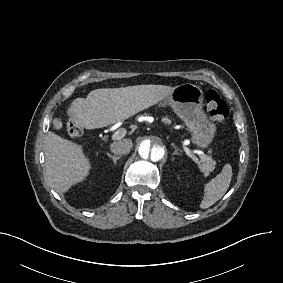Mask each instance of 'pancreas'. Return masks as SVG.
<instances>
[{
  "instance_id": "obj_1",
  "label": "pancreas",
  "mask_w": 283,
  "mask_h": 283,
  "mask_svg": "<svg viewBox=\"0 0 283 283\" xmlns=\"http://www.w3.org/2000/svg\"><path fill=\"white\" fill-rule=\"evenodd\" d=\"M162 122L164 124L170 125L172 121L168 117H163ZM216 161L212 159L211 155L202 154L200 156V161L198 162V167L204 176L207 177L210 172L215 169Z\"/></svg>"
}]
</instances>
